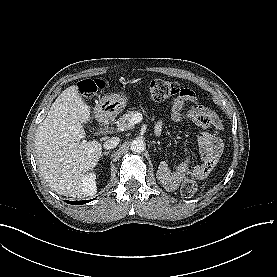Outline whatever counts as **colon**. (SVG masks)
Listing matches in <instances>:
<instances>
[{
	"mask_svg": "<svg viewBox=\"0 0 277 277\" xmlns=\"http://www.w3.org/2000/svg\"><path fill=\"white\" fill-rule=\"evenodd\" d=\"M103 88V83L100 80H85L79 85V89L83 95L92 96L97 90ZM148 90L151 97L154 100H165L169 97L180 95L182 93H187L189 89H183L181 86L172 81L166 80H152L148 84ZM215 162L213 159L207 161L208 168L214 167ZM196 183L192 177L187 178L181 188L180 193L183 197L190 198L196 192Z\"/></svg>",
	"mask_w": 277,
	"mask_h": 277,
	"instance_id": "colon-1",
	"label": "colon"
}]
</instances>
